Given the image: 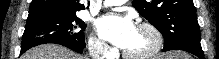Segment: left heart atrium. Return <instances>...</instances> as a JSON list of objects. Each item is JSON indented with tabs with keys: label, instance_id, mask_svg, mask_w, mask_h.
<instances>
[{
	"label": "left heart atrium",
	"instance_id": "39dd6f15",
	"mask_svg": "<svg viewBox=\"0 0 219 59\" xmlns=\"http://www.w3.org/2000/svg\"><path fill=\"white\" fill-rule=\"evenodd\" d=\"M95 25L103 39L123 49L127 47L137 30L131 18L114 13L100 17Z\"/></svg>",
	"mask_w": 219,
	"mask_h": 59
}]
</instances>
